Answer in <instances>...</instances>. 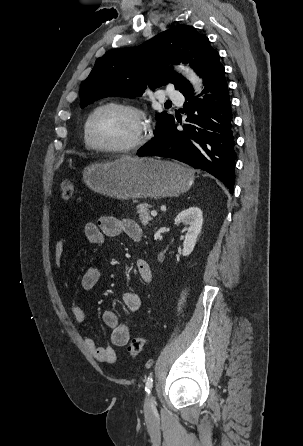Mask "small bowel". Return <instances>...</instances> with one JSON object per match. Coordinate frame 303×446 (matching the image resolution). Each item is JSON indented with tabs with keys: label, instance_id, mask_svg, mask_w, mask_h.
<instances>
[{
	"label": "small bowel",
	"instance_id": "obj_1",
	"mask_svg": "<svg viewBox=\"0 0 303 446\" xmlns=\"http://www.w3.org/2000/svg\"><path fill=\"white\" fill-rule=\"evenodd\" d=\"M84 234L87 241L93 245H101L106 238H118L126 236L133 241H140L142 230L140 226L131 219H119L113 216H103L96 223H87L84 227ZM69 240L62 238L57 241L54 249L55 262L61 265L63 254ZM136 270L141 281L149 283L152 280V271L148 262L144 259L136 261ZM100 280V270L97 266H89L82 275L81 285L85 290H93ZM68 285V284H66ZM122 301L126 309L130 312H137L141 308V298L135 291H127L122 296ZM72 314L78 325H83L86 321L85 312L77 305H72ZM103 322L111 330V341L117 347H123L129 341L130 329L128 324L123 322L114 311L107 310L102 315ZM85 344L99 362L113 364L117 360L116 351L112 347H100L93 338H86Z\"/></svg>",
	"mask_w": 303,
	"mask_h": 446
}]
</instances>
